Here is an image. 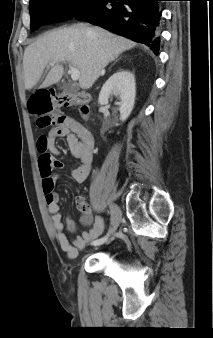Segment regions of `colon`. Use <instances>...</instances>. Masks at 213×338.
Listing matches in <instances>:
<instances>
[{
    "instance_id": "5ec220e1",
    "label": "colon",
    "mask_w": 213,
    "mask_h": 338,
    "mask_svg": "<svg viewBox=\"0 0 213 338\" xmlns=\"http://www.w3.org/2000/svg\"><path fill=\"white\" fill-rule=\"evenodd\" d=\"M89 96L82 93H56L52 90L34 92L28 102V110L36 117L39 127L60 126L65 117L58 111L61 108L73 107L88 112ZM52 184L45 185L50 190Z\"/></svg>"
}]
</instances>
